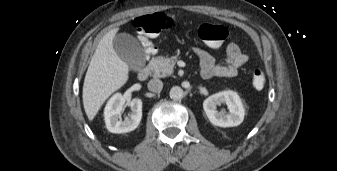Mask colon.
<instances>
[{
    "label": "colon",
    "mask_w": 337,
    "mask_h": 171,
    "mask_svg": "<svg viewBox=\"0 0 337 171\" xmlns=\"http://www.w3.org/2000/svg\"><path fill=\"white\" fill-rule=\"evenodd\" d=\"M174 22L171 17L157 13L137 17L133 22L134 29L143 37L141 51L148 59H153L157 55L158 46L148 37L157 34L162 30L170 29ZM198 36L205 42L209 50H219L228 36V31L224 26L202 23L198 28ZM266 77L261 69H255L252 73V84L256 89L265 86Z\"/></svg>",
    "instance_id": "1"
}]
</instances>
